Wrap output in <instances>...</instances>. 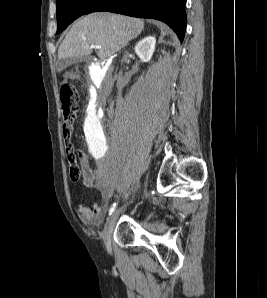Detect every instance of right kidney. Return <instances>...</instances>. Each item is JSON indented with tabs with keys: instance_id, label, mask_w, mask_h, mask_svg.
<instances>
[{
	"instance_id": "1",
	"label": "right kidney",
	"mask_w": 267,
	"mask_h": 298,
	"mask_svg": "<svg viewBox=\"0 0 267 298\" xmlns=\"http://www.w3.org/2000/svg\"><path fill=\"white\" fill-rule=\"evenodd\" d=\"M156 38L147 36L135 46V52L142 62H149L155 50Z\"/></svg>"
}]
</instances>
